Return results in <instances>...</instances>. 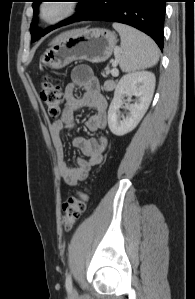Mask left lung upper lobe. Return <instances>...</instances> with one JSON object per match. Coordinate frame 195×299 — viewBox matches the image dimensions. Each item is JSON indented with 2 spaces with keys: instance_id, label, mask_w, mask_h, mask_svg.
<instances>
[{
  "instance_id": "1",
  "label": "left lung upper lobe",
  "mask_w": 195,
  "mask_h": 299,
  "mask_svg": "<svg viewBox=\"0 0 195 299\" xmlns=\"http://www.w3.org/2000/svg\"><path fill=\"white\" fill-rule=\"evenodd\" d=\"M42 1L43 0H32V2H33L32 7H33L34 15L38 14V6H39V4ZM90 5H91V0H80L79 1V5L77 7L78 12L74 16H72V17H70V18L62 21L61 23H59V24H57L55 26L50 27L49 29H47V30H45L43 32L38 31L36 29V27H35V24H36L35 19H36V17H34V20H33L32 24L30 26V32H31L32 41L38 40L41 36H44L45 34H47L48 32H50L51 30H53V29H55L57 27H60V26L67 25V24L75 22L83 14V12L90 7Z\"/></svg>"
}]
</instances>
